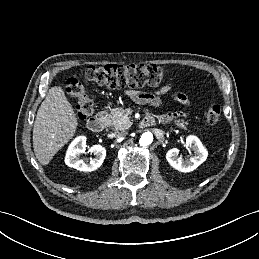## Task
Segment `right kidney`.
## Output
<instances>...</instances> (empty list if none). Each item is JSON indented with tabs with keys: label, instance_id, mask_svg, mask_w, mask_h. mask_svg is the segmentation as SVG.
<instances>
[{
	"label": "right kidney",
	"instance_id": "1",
	"mask_svg": "<svg viewBox=\"0 0 259 259\" xmlns=\"http://www.w3.org/2000/svg\"><path fill=\"white\" fill-rule=\"evenodd\" d=\"M86 137L78 136L68 147L65 163L67 166L84 172H91L98 169L106 156V149L101 145H93L89 151L95 155V158H90L89 162H85L80 158V155L86 150Z\"/></svg>",
	"mask_w": 259,
	"mask_h": 259
}]
</instances>
